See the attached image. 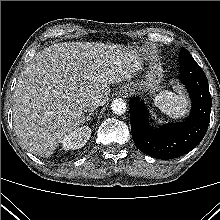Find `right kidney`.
Returning <instances> with one entry per match:
<instances>
[{
	"label": "right kidney",
	"mask_w": 220,
	"mask_h": 220,
	"mask_svg": "<svg viewBox=\"0 0 220 220\" xmlns=\"http://www.w3.org/2000/svg\"><path fill=\"white\" fill-rule=\"evenodd\" d=\"M91 136V129L83 126L75 129L62 139V148L65 150H76L82 148Z\"/></svg>",
	"instance_id": "obj_1"
}]
</instances>
